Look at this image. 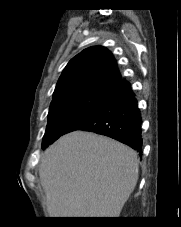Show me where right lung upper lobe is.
I'll use <instances>...</instances> for the list:
<instances>
[{
    "mask_svg": "<svg viewBox=\"0 0 181 227\" xmlns=\"http://www.w3.org/2000/svg\"><path fill=\"white\" fill-rule=\"evenodd\" d=\"M121 80L112 53L105 47L92 46L77 54L64 68L53 101L84 92L112 91Z\"/></svg>",
    "mask_w": 181,
    "mask_h": 227,
    "instance_id": "1",
    "label": "right lung upper lobe"
}]
</instances>
